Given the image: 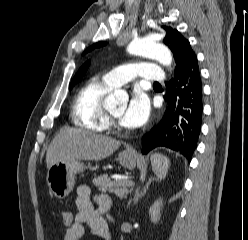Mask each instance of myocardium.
Listing matches in <instances>:
<instances>
[{"instance_id":"1","label":"myocardium","mask_w":248,"mask_h":240,"mask_svg":"<svg viewBox=\"0 0 248 240\" xmlns=\"http://www.w3.org/2000/svg\"><path fill=\"white\" fill-rule=\"evenodd\" d=\"M108 125L113 127L115 130L119 132H126L125 127L119 122L117 118H115L110 112H106Z\"/></svg>"}]
</instances>
